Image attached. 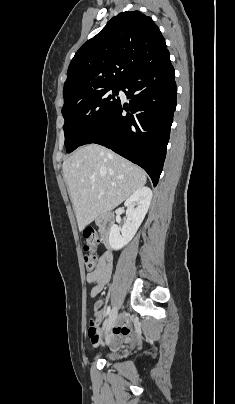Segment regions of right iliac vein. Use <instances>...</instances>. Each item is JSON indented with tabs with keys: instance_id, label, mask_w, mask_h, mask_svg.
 <instances>
[{
	"instance_id": "63e3f726",
	"label": "right iliac vein",
	"mask_w": 235,
	"mask_h": 404,
	"mask_svg": "<svg viewBox=\"0 0 235 404\" xmlns=\"http://www.w3.org/2000/svg\"><path fill=\"white\" fill-rule=\"evenodd\" d=\"M113 315L109 318V321H108V323H107V329L109 330L111 327H113L116 323H117V321H118V312H117V309L116 308H114L113 309V313H112Z\"/></svg>"
}]
</instances>
